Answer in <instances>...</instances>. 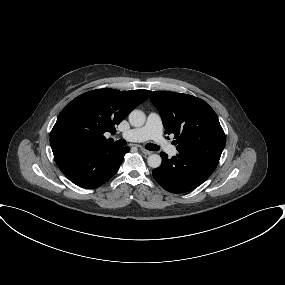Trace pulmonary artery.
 <instances>
[{
	"label": "pulmonary artery",
	"mask_w": 285,
	"mask_h": 285,
	"mask_svg": "<svg viewBox=\"0 0 285 285\" xmlns=\"http://www.w3.org/2000/svg\"><path fill=\"white\" fill-rule=\"evenodd\" d=\"M163 125L160 116L151 112L144 126L130 129L121 134L122 138L131 142H142L148 139L154 140L157 144L165 148L169 155L174 156L178 153L177 149L164 140L162 135Z\"/></svg>",
	"instance_id": "obj_1"
}]
</instances>
